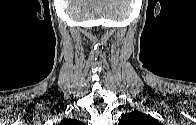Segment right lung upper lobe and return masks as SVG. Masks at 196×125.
Here are the masks:
<instances>
[{
  "mask_svg": "<svg viewBox=\"0 0 196 125\" xmlns=\"http://www.w3.org/2000/svg\"><path fill=\"white\" fill-rule=\"evenodd\" d=\"M71 121H72L71 119H64V120H62L61 124L65 125L66 123H69Z\"/></svg>",
  "mask_w": 196,
  "mask_h": 125,
  "instance_id": "1",
  "label": "right lung upper lobe"
}]
</instances>
